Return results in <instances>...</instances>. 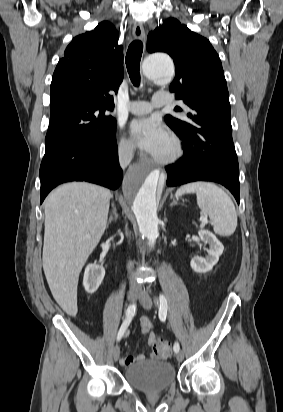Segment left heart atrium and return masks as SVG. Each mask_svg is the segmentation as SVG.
<instances>
[{"label": "left heart atrium", "instance_id": "39dd6f15", "mask_svg": "<svg viewBox=\"0 0 283 412\" xmlns=\"http://www.w3.org/2000/svg\"><path fill=\"white\" fill-rule=\"evenodd\" d=\"M130 132L140 148L151 154H154L168 138L164 126L154 117L133 121Z\"/></svg>", "mask_w": 283, "mask_h": 412}]
</instances>
